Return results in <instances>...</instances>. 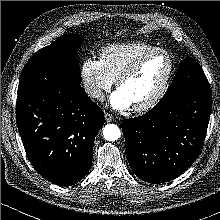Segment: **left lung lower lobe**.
<instances>
[{"mask_svg":"<svg viewBox=\"0 0 220 220\" xmlns=\"http://www.w3.org/2000/svg\"><path fill=\"white\" fill-rule=\"evenodd\" d=\"M211 106L210 88L199 89L125 120L126 154L136 176L158 184L182 174L201 152Z\"/></svg>","mask_w":220,"mask_h":220,"instance_id":"1","label":"left lung lower lobe"}]
</instances>
